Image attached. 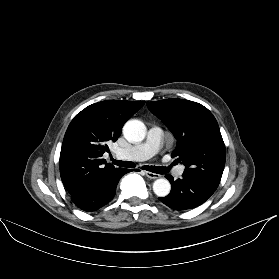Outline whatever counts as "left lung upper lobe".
<instances>
[{
  "label": "left lung upper lobe",
  "mask_w": 279,
  "mask_h": 279,
  "mask_svg": "<svg viewBox=\"0 0 279 279\" xmlns=\"http://www.w3.org/2000/svg\"><path fill=\"white\" fill-rule=\"evenodd\" d=\"M148 109L177 140L172 157L185 165L183 175L216 190L224 170L226 151L218 123L203 105L184 99L147 102Z\"/></svg>",
  "instance_id": "obj_1"
}]
</instances>
